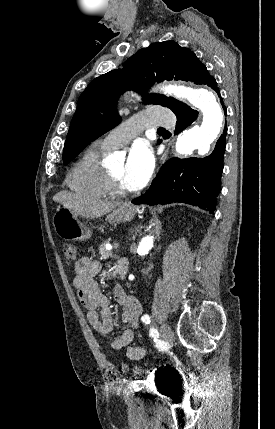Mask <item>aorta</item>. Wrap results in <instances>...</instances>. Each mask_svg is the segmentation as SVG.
<instances>
[{"instance_id": "aorta-1", "label": "aorta", "mask_w": 275, "mask_h": 429, "mask_svg": "<svg viewBox=\"0 0 275 429\" xmlns=\"http://www.w3.org/2000/svg\"><path fill=\"white\" fill-rule=\"evenodd\" d=\"M161 90L167 95L187 100L202 112L201 123L178 136L176 152L181 155H190L194 150H198L199 154H206L210 149V144L219 135L225 120V111L215 92L207 86L189 88L168 85L162 87ZM153 243L152 235L144 236L138 245V255L146 256L152 249Z\"/></svg>"}]
</instances>
